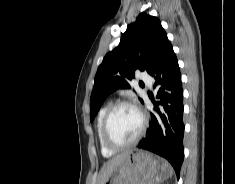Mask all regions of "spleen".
<instances>
[{
	"label": "spleen",
	"instance_id": "obj_1",
	"mask_svg": "<svg viewBox=\"0 0 235 184\" xmlns=\"http://www.w3.org/2000/svg\"><path fill=\"white\" fill-rule=\"evenodd\" d=\"M172 174H173V170H172V168H169V174H168V176H172Z\"/></svg>",
	"mask_w": 235,
	"mask_h": 184
}]
</instances>
